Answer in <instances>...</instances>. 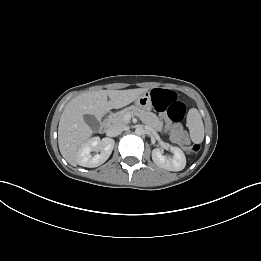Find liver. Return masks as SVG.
<instances>
[{"instance_id":"liver-1","label":"liver","mask_w":261,"mask_h":261,"mask_svg":"<svg viewBox=\"0 0 261 261\" xmlns=\"http://www.w3.org/2000/svg\"><path fill=\"white\" fill-rule=\"evenodd\" d=\"M147 89L99 90L78 95L65 107L59 121L58 145L63 158L76 166L79 148L92 136V129L84 115L101 118L111 109H119L134 102ZM109 97L110 100H107Z\"/></svg>"}]
</instances>
